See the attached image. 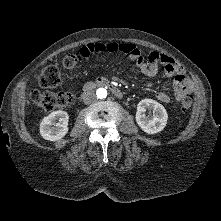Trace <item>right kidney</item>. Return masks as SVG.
<instances>
[{
  "label": "right kidney",
  "instance_id": "1",
  "mask_svg": "<svg viewBox=\"0 0 221 221\" xmlns=\"http://www.w3.org/2000/svg\"><path fill=\"white\" fill-rule=\"evenodd\" d=\"M68 120L69 115L66 111L57 110L50 113L40 123V135L49 141L63 138L68 133Z\"/></svg>",
  "mask_w": 221,
  "mask_h": 221
}]
</instances>
